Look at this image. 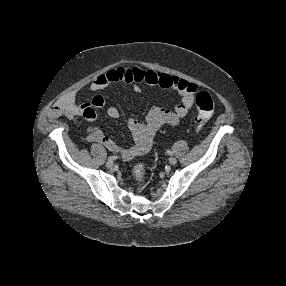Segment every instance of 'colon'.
Returning a JSON list of instances; mask_svg holds the SVG:
<instances>
[{"mask_svg":"<svg viewBox=\"0 0 286 286\" xmlns=\"http://www.w3.org/2000/svg\"><path fill=\"white\" fill-rule=\"evenodd\" d=\"M195 102L198 109L197 130L200 131L203 124L211 118L214 104L211 96L207 92H199L196 96ZM142 168V163H138L134 166L135 176L140 182H143Z\"/></svg>","mask_w":286,"mask_h":286,"instance_id":"5ec220e1","label":"colon"}]
</instances>
